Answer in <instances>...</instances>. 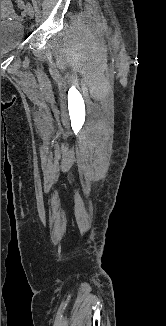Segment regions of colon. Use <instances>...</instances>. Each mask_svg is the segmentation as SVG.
I'll return each instance as SVG.
<instances>
[{
    "instance_id": "obj_1",
    "label": "colon",
    "mask_w": 166,
    "mask_h": 326,
    "mask_svg": "<svg viewBox=\"0 0 166 326\" xmlns=\"http://www.w3.org/2000/svg\"><path fill=\"white\" fill-rule=\"evenodd\" d=\"M16 5H17V7L20 8V9H22L23 6H24L22 0H16Z\"/></svg>"
}]
</instances>
